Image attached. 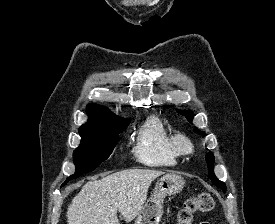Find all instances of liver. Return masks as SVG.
Returning a JSON list of instances; mask_svg holds the SVG:
<instances>
[{
  "label": "liver",
  "mask_w": 275,
  "mask_h": 224,
  "mask_svg": "<svg viewBox=\"0 0 275 224\" xmlns=\"http://www.w3.org/2000/svg\"><path fill=\"white\" fill-rule=\"evenodd\" d=\"M164 174L150 169H128L84 184L67 210L68 224H120L117 211L127 223L142 210L150 184Z\"/></svg>",
  "instance_id": "1"
}]
</instances>
